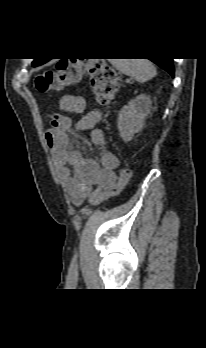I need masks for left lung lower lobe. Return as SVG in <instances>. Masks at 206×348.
Masks as SVG:
<instances>
[{
  "label": "left lung lower lobe",
  "instance_id": "obj_1",
  "mask_svg": "<svg viewBox=\"0 0 206 348\" xmlns=\"http://www.w3.org/2000/svg\"><path fill=\"white\" fill-rule=\"evenodd\" d=\"M154 63H156L158 66L166 70L172 77H174V67H173V59L172 58H157V59H150Z\"/></svg>",
  "mask_w": 206,
  "mask_h": 348
}]
</instances>
